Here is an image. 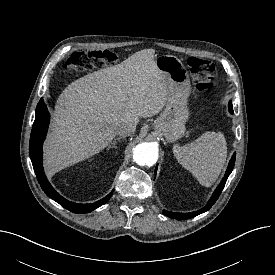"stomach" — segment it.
Segmentation results:
<instances>
[{"label": "stomach", "mask_w": 275, "mask_h": 275, "mask_svg": "<svg viewBox=\"0 0 275 275\" xmlns=\"http://www.w3.org/2000/svg\"><path fill=\"white\" fill-rule=\"evenodd\" d=\"M155 62L165 76L169 95L154 128L168 141H175L184 135L185 124L189 117L187 107L191 91L189 75L181 60L176 56L160 55Z\"/></svg>", "instance_id": "obj_1"}]
</instances>
